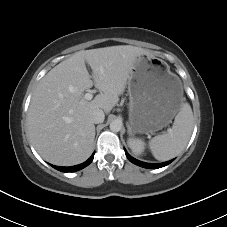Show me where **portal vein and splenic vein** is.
I'll use <instances>...</instances> for the list:
<instances>
[{
  "label": "portal vein and splenic vein",
  "instance_id": "obj_1",
  "mask_svg": "<svg viewBox=\"0 0 227 227\" xmlns=\"http://www.w3.org/2000/svg\"><path fill=\"white\" fill-rule=\"evenodd\" d=\"M93 98L92 92L86 93L84 95V100H91Z\"/></svg>",
  "mask_w": 227,
  "mask_h": 227
}]
</instances>
